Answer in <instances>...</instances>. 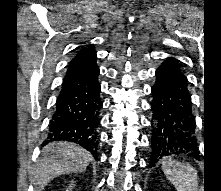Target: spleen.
<instances>
[{
  "label": "spleen",
  "mask_w": 221,
  "mask_h": 191,
  "mask_svg": "<svg viewBox=\"0 0 221 191\" xmlns=\"http://www.w3.org/2000/svg\"><path fill=\"white\" fill-rule=\"evenodd\" d=\"M162 170L177 191H198L197 172L190 164L166 159Z\"/></svg>",
  "instance_id": "1"
}]
</instances>
